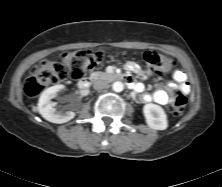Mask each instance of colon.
Returning a JSON list of instances; mask_svg holds the SVG:
<instances>
[{
	"label": "colon",
	"instance_id": "5ec220e1",
	"mask_svg": "<svg viewBox=\"0 0 222 187\" xmlns=\"http://www.w3.org/2000/svg\"><path fill=\"white\" fill-rule=\"evenodd\" d=\"M105 59L101 51H71L65 52L60 61L43 60L35 66L25 83V92L30 97L39 95L46 87L61 82L67 78L80 81ZM143 61L150 67L151 72L161 73L170 67V59L156 51H146ZM187 104L185 95L178 93L173 97L171 113L179 116Z\"/></svg>",
	"mask_w": 222,
	"mask_h": 187
}]
</instances>
